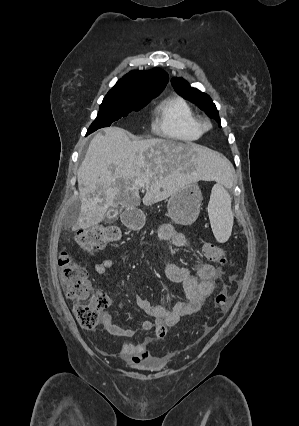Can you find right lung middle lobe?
<instances>
[{
  "instance_id": "dd1d6c3e",
  "label": "right lung middle lobe",
  "mask_w": 299,
  "mask_h": 426,
  "mask_svg": "<svg viewBox=\"0 0 299 426\" xmlns=\"http://www.w3.org/2000/svg\"><path fill=\"white\" fill-rule=\"evenodd\" d=\"M160 93L161 91H148L135 99H124L108 93L100 105L97 118L88 128L87 135L99 128L110 126L112 122L127 116L132 111H139Z\"/></svg>"
}]
</instances>
